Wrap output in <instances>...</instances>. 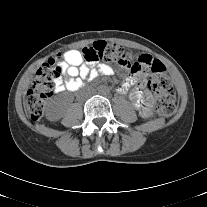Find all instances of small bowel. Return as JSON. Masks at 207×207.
<instances>
[{"mask_svg": "<svg viewBox=\"0 0 207 207\" xmlns=\"http://www.w3.org/2000/svg\"><path fill=\"white\" fill-rule=\"evenodd\" d=\"M141 55V54H140ZM149 55V54H148ZM61 76L56 81L55 91L64 90L76 91L82 87L84 80L95 79L99 76H111L114 73L113 68L100 63L94 66L92 63L84 61L79 50H69L64 54V61L60 64ZM129 71L128 76L119 85L117 91L121 94H127L133 106L139 112L142 118H149L152 115L151 97L143 94V88L146 80L142 71Z\"/></svg>", "mask_w": 207, "mask_h": 207, "instance_id": "1", "label": "small bowel"}]
</instances>
